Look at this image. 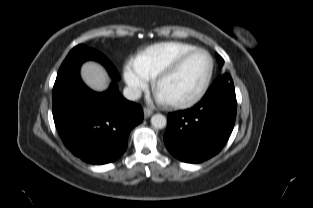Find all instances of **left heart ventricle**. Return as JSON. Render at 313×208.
<instances>
[{"label":"left heart ventricle","instance_id":"b2bd125f","mask_svg":"<svg viewBox=\"0 0 313 208\" xmlns=\"http://www.w3.org/2000/svg\"><path fill=\"white\" fill-rule=\"evenodd\" d=\"M209 69L205 54L196 53L189 57L179 71L165 80L158 95L165 101L188 99L201 88Z\"/></svg>","mask_w":313,"mask_h":208}]
</instances>
